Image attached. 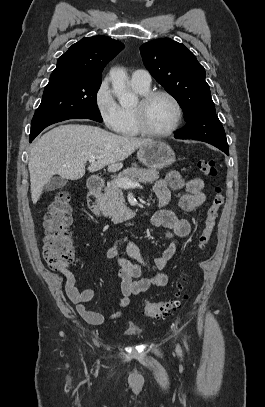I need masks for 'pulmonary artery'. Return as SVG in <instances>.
Here are the masks:
<instances>
[{"label":"pulmonary artery","mask_w":265,"mask_h":407,"mask_svg":"<svg viewBox=\"0 0 265 407\" xmlns=\"http://www.w3.org/2000/svg\"><path fill=\"white\" fill-rule=\"evenodd\" d=\"M131 84L137 87L148 89L151 85V75L146 70H135L131 75Z\"/></svg>","instance_id":"pulmonary-artery-1"}]
</instances>
